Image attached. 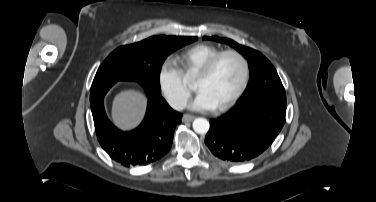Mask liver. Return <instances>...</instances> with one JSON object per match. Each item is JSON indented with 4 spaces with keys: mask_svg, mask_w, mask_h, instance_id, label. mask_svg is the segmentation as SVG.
<instances>
[{
    "mask_svg": "<svg viewBox=\"0 0 376 202\" xmlns=\"http://www.w3.org/2000/svg\"><path fill=\"white\" fill-rule=\"evenodd\" d=\"M146 109L145 96L135 90H125L116 95L112 104V120L123 131L135 129L141 123Z\"/></svg>",
    "mask_w": 376,
    "mask_h": 202,
    "instance_id": "liver-1",
    "label": "liver"
}]
</instances>
